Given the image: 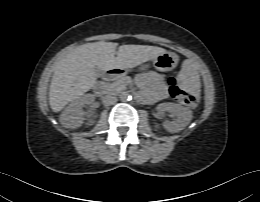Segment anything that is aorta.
<instances>
[{
	"label": "aorta",
	"instance_id": "762f6f07",
	"mask_svg": "<svg viewBox=\"0 0 260 202\" xmlns=\"http://www.w3.org/2000/svg\"><path fill=\"white\" fill-rule=\"evenodd\" d=\"M132 99V96L127 92H122L121 95H120V100L125 102V101H129Z\"/></svg>",
	"mask_w": 260,
	"mask_h": 202
}]
</instances>
